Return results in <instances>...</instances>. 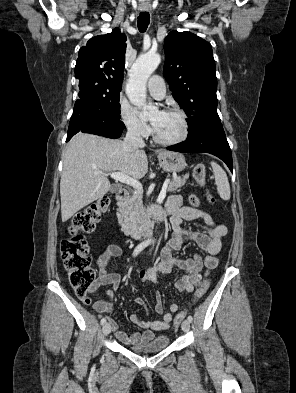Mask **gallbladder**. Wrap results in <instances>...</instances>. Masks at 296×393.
<instances>
[{
  "mask_svg": "<svg viewBox=\"0 0 296 393\" xmlns=\"http://www.w3.org/2000/svg\"><path fill=\"white\" fill-rule=\"evenodd\" d=\"M117 190H118V187L113 185V186H111L110 192L115 193Z\"/></svg>",
  "mask_w": 296,
  "mask_h": 393,
  "instance_id": "bac80fb5",
  "label": "gallbladder"
}]
</instances>
